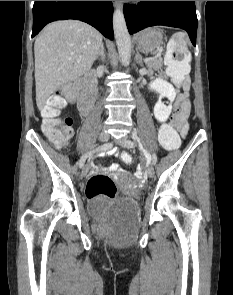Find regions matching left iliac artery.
I'll use <instances>...</instances> for the list:
<instances>
[{"label":"left iliac artery","instance_id":"left-iliac-artery-1","mask_svg":"<svg viewBox=\"0 0 233 295\" xmlns=\"http://www.w3.org/2000/svg\"><path fill=\"white\" fill-rule=\"evenodd\" d=\"M125 143L127 145H135L136 141L135 140H127ZM151 155H152V164L155 166L157 164V155L154 152Z\"/></svg>","mask_w":233,"mask_h":295}]
</instances>
